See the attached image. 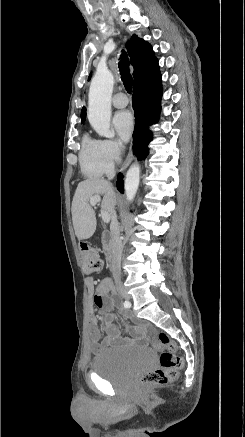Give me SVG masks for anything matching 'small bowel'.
<instances>
[{"label": "small bowel", "mask_w": 245, "mask_h": 437, "mask_svg": "<svg viewBox=\"0 0 245 437\" xmlns=\"http://www.w3.org/2000/svg\"><path fill=\"white\" fill-rule=\"evenodd\" d=\"M85 283L89 289H93L96 286L94 304L98 311L96 313H92L88 323L91 351L94 354H99L104 349L114 348L130 343L131 340L124 338L120 329L115 324V313L113 312L114 301L110 296V293L113 290L111 281L109 279H104L99 284H96V281L92 277H88ZM98 317L101 319L102 330L105 333V338L103 341H100ZM124 326L126 330L136 339H143L151 335V331L146 326Z\"/></svg>", "instance_id": "c3829d8e"}]
</instances>
